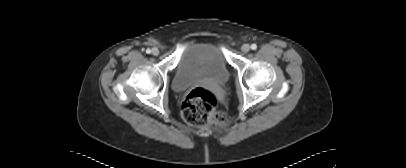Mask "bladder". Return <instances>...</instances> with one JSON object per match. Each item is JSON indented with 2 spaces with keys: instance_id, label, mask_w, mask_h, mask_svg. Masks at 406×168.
I'll return each mask as SVG.
<instances>
[{
  "instance_id": "31cf9c89",
  "label": "bladder",
  "mask_w": 406,
  "mask_h": 168,
  "mask_svg": "<svg viewBox=\"0 0 406 168\" xmlns=\"http://www.w3.org/2000/svg\"><path fill=\"white\" fill-rule=\"evenodd\" d=\"M229 77L226 59L219 48L212 43L196 42L182 51L172 87L181 92L201 80L223 84Z\"/></svg>"
}]
</instances>
